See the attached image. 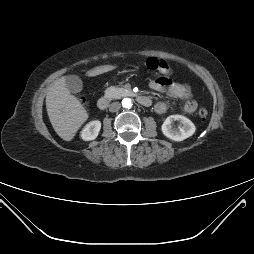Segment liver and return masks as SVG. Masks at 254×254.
Masks as SVG:
<instances>
[{
  "instance_id": "1",
  "label": "liver",
  "mask_w": 254,
  "mask_h": 254,
  "mask_svg": "<svg viewBox=\"0 0 254 254\" xmlns=\"http://www.w3.org/2000/svg\"><path fill=\"white\" fill-rule=\"evenodd\" d=\"M115 68V65L99 66L89 70L87 76L94 77ZM46 109L55 132L65 141L72 140L88 119L83 105L67 89L66 77L59 78L47 92Z\"/></svg>"
}]
</instances>
